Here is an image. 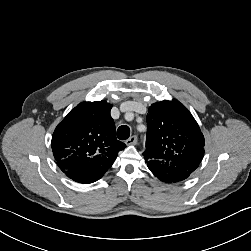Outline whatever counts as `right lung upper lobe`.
Returning a JSON list of instances; mask_svg holds the SVG:
<instances>
[{
	"label": "right lung upper lobe",
	"instance_id": "cb5924a9",
	"mask_svg": "<svg viewBox=\"0 0 251 251\" xmlns=\"http://www.w3.org/2000/svg\"><path fill=\"white\" fill-rule=\"evenodd\" d=\"M106 101L82 102L56 127L51 141L59 168L76 182L100 179L126 145L115 136Z\"/></svg>",
	"mask_w": 251,
	"mask_h": 251
}]
</instances>
